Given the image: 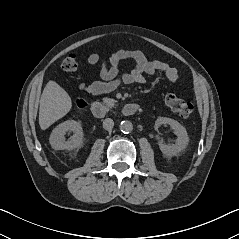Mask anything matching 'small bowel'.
Here are the masks:
<instances>
[{
  "mask_svg": "<svg viewBox=\"0 0 239 239\" xmlns=\"http://www.w3.org/2000/svg\"><path fill=\"white\" fill-rule=\"evenodd\" d=\"M124 60H132L134 67L126 73H120L119 66ZM88 63L100 65L101 80L92 83L82 82L79 88L92 94L110 93L122 84H142L145 81V74L154 75L162 72L172 83L179 77L175 67L161 60L149 59L139 50L118 49L108 59H102L99 54L92 53L88 56Z\"/></svg>",
  "mask_w": 239,
  "mask_h": 239,
  "instance_id": "obj_1",
  "label": "small bowel"
}]
</instances>
